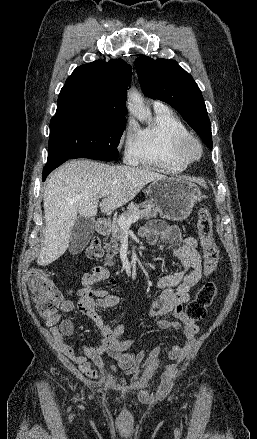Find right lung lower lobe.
I'll use <instances>...</instances> for the list:
<instances>
[{
  "mask_svg": "<svg viewBox=\"0 0 257 439\" xmlns=\"http://www.w3.org/2000/svg\"><path fill=\"white\" fill-rule=\"evenodd\" d=\"M66 160H62V161H58V162H53V163H47L43 169V181L45 180V178L47 177V175L55 168H57L59 165H61L63 162H65Z\"/></svg>",
  "mask_w": 257,
  "mask_h": 439,
  "instance_id": "1",
  "label": "right lung lower lobe"
}]
</instances>
